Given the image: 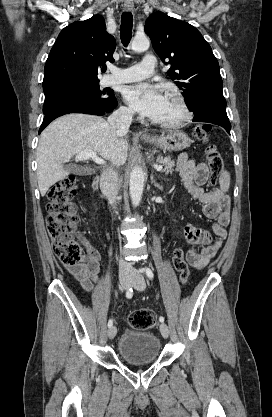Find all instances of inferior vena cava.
I'll return each mask as SVG.
<instances>
[{"label": "inferior vena cava", "mask_w": 272, "mask_h": 417, "mask_svg": "<svg viewBox=\"0 0 272 417\" xmlns=\"http://www.w3.org/2000/svg\"><path fill=\"white\" fill-rule=\"evenodd\" d=\"M133 110L121 107L114 111L108 117V123L114 129L121 132H128L129 126L132 122ZM118 174L112 168L103 169L100 178L101 191L106 195L111 206L116 205V198L118 196ZM133 267L131 263L119 260V275L128 276L132 273Z\"/></svg>", "instance_id": "602c4592"}]
</instances>
